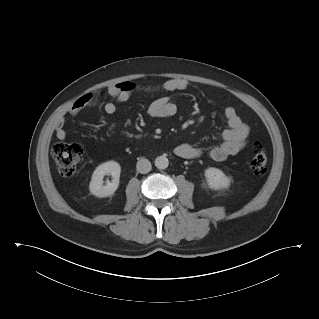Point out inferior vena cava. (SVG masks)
Returning a JSON list of instances; mask_svg holds the SVG:
<instances>
[{"label": "inferior vena cava", "instance_id": "obj_1", "mask_svg": "<svg viewBox=\"0 0 319 319\" xmlns=\"http://www.w3.org/2000/svg\"><path fill=\"white\" fill-rule=\"evenodd\" d=\"M137 171L141 174H146L151 170V163L148 159L141 158L136 165Z\"/></svg>", "mask_w": 319, "mask_h": 319}]
</instances>
